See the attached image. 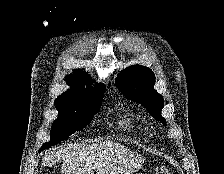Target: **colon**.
Instances as JSON below:
<instances>
[{
    "instance_id": "1",
    "label": "colon",
    "mask_w": 224,
    "mask_h": 174,
    "mask_svg": "<svg viewBox=\"0 0 224 174\" xmlns=\"http://www.w3.org/2000/svg\"><path fill=\"white\" fill-rule=\"evenodd\" d=\"M155 174H172L171 171L165 167V166H159L156 171Z\"/></svg>"
}]
</instances>
